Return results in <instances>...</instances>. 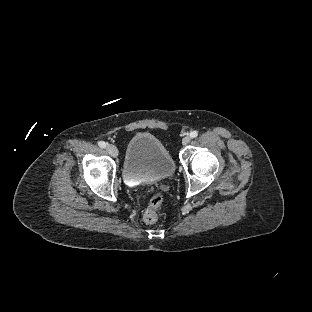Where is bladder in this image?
<instances>
[{"instance_id":"31cf9c89","label":"bladder","mask_w":312,"mask_h":312,"mask_svg":"<svg viewBox=\"0 0 312 312\" xmlns=\"http://www.w3.org/2000/svg\"><path fill=\"white\" fill-rule=\"evenodd\" d=\"M175 169L172 154L150 133H139L127 144L124 174L128 179L162 180Z\"/></svg>"}]
</instances>
